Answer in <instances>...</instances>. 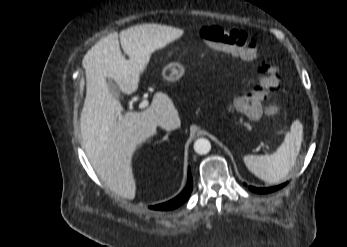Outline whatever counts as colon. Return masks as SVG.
<instances>
[{"label": "colon", "instance_id": "5ec220e1", "mask_svg": "<svg viewBox=\"0 0 347 247\" xmlns=\"http://www.w3.org/2000/svg\"><path fill=\"white\" fill-rule=\"evenodd\" d=\"M199 36L202 42L215 52L233 54L247 61L253 60L257 55V40L243 30L206 25L200 29ZM258 71L262 75L260 86L257 89H248L237 100L238 110L251 118H257L262 114L265 92H275L281 84L277 67L263 61ZM276 109L275 106L268 107L270 112H275Z\"/></svg>", "mask_w": 347, "mask_h": 247}]
</instances>
